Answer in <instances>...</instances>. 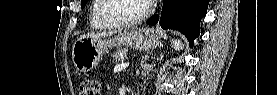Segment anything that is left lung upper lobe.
Returning a JSON list of instances; mask_svg holds the SVG:
<instances>
[{
    "mask_svg": "<svg viewBox=\"0 0 277 95\" xmlns=\"http://www.w3.org/2000/svg\"><path fill=\"white\" fill-rule=\"evenodd\" d=\"M88 0H81V8H84Z\"/></svg>",
    "mask_w": 277,
    "mask_h": 95,
    "instance_id": "5c2ea615",
    "label": "left lung upper lobe"
}]
</instances>
